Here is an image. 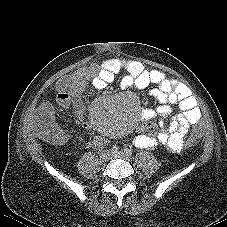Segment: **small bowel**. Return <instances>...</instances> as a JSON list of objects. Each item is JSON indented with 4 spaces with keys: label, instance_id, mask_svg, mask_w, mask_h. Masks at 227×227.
I'll return each mask as SVG.
<instances>
[{
    "label": "small bowel",
    "instance_id": "obj_1",
    "mask_svg": "<svg viewBox=\"0 0 227 227\" xmlns=\"http://www.w3.org/2000/svg\"><path fill=\"white\" fill-rule=\"evenodd\" d=\"M120 71L125 72L121 79L123 87L144 89L154 85L150 94L160 103L156 109H144L141 113L144 121L160 118L159 128L152 124L143 128L134 138L135 145L140 148L160 145L171 153H179L189 128L201 118L196 99L184 83L168 78L159 70H147L138 61L108 58L62 77L56 84L60 105L68 106L71 99L79 98L89 84L97 90L104 89ZM174 105H178L180 112L166 123ZM40 111L42 114H52V108L47 103L40 107ZM79 118L85 121L84 115Z\"/></svg>",
    "mask_w": 227,
    "mask_h": 227
}]
</instances>
